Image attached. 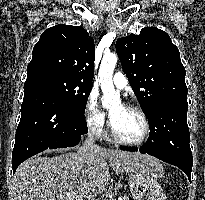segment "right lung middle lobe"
I'll list each match as a JSON object with an SVG mask.
<instances>
[{
    "instance_id": "obj_1",
    "label": "right lung middle lobe",
    "mask_w": 205,
    "mask_h": 200,
    "mask_svg": "<svg viewBox=\"0 0 205 200\" xmlns=\"http://www.w3.org/2000/svg\"><path fill=\"white\" fill-rule=\"evenodd\" d=\"M39 87L57 95L66 105L84 113L92 85L57 75L42 74L26 79L24 88Z\"/></svg>"
}]
</instances>
